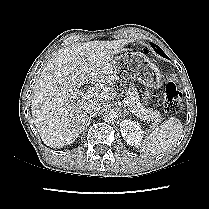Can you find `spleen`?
Instances as JSON below:
<instances>
[{
    "label": "spleen",
    "mask_w": 209,
    "mask_h": 209,
    "mask_svg": "<svg viewBox=\"0 0 209 209\" xmlns=\"http://www.w3.org/2000/svg\"><path fill=\"white\" fill-rule=\"evenodd\" d=\"M183 126L176 118H170L149 131L141 144L145 155H158L171 148L181 137Z\"/></svg>",
    "instance_id": "3e777b00"
}]
</instances>
